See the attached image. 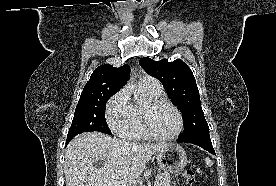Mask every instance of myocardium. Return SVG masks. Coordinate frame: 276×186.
Instances as JSON below:
<instances>
[{"label":"myocardium","mask_w":276,"mask_h":186,"mask_svg":"<svg viewBox=\"0 0 276 186\" xmlns=\"http://www.w3.org/2000/svg\"><path fill=\"white\" fill-rule=\"evenodd\" d=\"M163 105L171 107L175 111V113L177 114L178 119H179V126H178L177 131L170 136L158 135L157 133H155V131L153 130L152 125H151V113L156 108H158L159 106H163ZM142 121H143V126H144V129H145L147 135L150 138L159 140V141L175 140L181 135V133L184 130V118H183L181 111L172 102H170L169 100L164 99V98H157V99L150 100L144 106Z\"/></svg>","instance_id":"f54148a6"}]
</instances>
